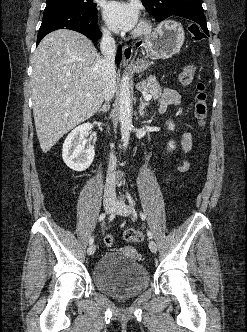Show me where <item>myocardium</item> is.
Instances as JSON below:
<instances>
[{
  "instance_id": "1",
  "label": "myocardium",
  "mask_w": 247,
  "mask_h": 332,
  "mask_svg": "<svg viewBox=\"0 0 247 332\" xmlns=\"http://www.w3.org/2000/svg\"><path fill=\"white\" fill-rule=\"evenodd\" d=\"M151 31V24L146 21V20H143L139 27L137 28L136 32H135V36L136 37H143V36H146L150 33Z\"/></svg>"
}]
</instances>
